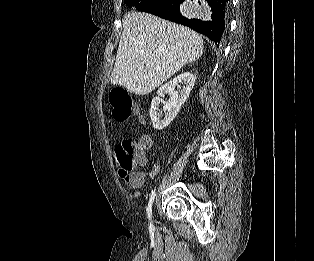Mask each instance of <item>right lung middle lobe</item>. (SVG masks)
Segmentation results:
<instances>
[{"instance_id": "right-lung-middle-lobe-1", "label": "right lung middle lobe", "mask_w": 314, "mask_h": 261, "mask_svg": "<svg viewBox=\"0 0 314 261\" xmlns=\"http://www.w3.org/2000/svg\"><path fill=\"white\" fill-rule=\"evenodd\" d=\"M164 0H126L129 8L135 7L138 11H147Z\"/></svg>"}]
</instances>
